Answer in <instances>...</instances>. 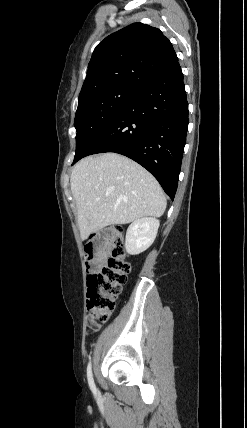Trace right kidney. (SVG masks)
<instances>
[{
    "mask_svg": "<svg viewBox=\"0 0 247 428\" xmlns=\"http://www.w3.org/2000/svg\"><path fill=\"white\" fill-rule=\"evenodd\" d=\"M159 225V220L151 217L134 221L126 232V251L131 255H137L147 250L156 238Z\"/></svg>",
    "mask_w": 247,
    "mask_h": 428,
    "instance_id": "obj_1",
    "label": "right kidney"
}]
</instances>
